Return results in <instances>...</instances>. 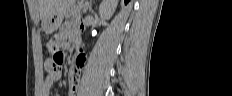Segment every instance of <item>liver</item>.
I'll use <instances>...</instances> for the list:
<instances>
[{"label": "liver", "mask_w": 232, "mask_h": 96, "mask_svg": "<svg viewBox=\"0 0 232 96\" xmlns=\"http://www.w3.org/2000/svg\"><path fill=\"white\" fill-rule=\"evenodd\" d=\"M38 2H39L40 18L43 23L44 18L46 17L47 14L50 13L56 0H39Z\"/></svg>", "instance_id": "obj_1"}]
</instances>
